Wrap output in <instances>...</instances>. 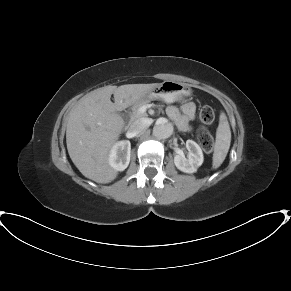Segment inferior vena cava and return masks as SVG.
Here are the masks:
<instances>
[{"label":"inferior vena cava","mask_w":291,"mask_h":291,"mask_svg":"<svg viewBox=\"0 0 291 291\" xmlns=\"http://www.w3.org/2000/svg\"><path fill=\"white\" fill-rule=\"evenodd\" d=\"M151 124V120L149 118H140L133 121L129 128L128 133L134 137L145 130Z\"/></svg>","instance_id":"obj_1"}]
</instances>
